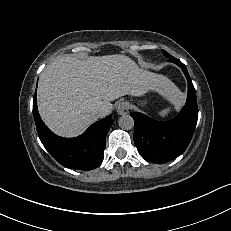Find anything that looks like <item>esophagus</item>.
Segmentation results:
<instances>
[{
	"instance_id": "esophagus-1",
	"label": "esophagus",
	"mask_w": 231,
	"mask_h": 231,
	"mask_svg": "<svg viewBox=\"0 0 231 231\" xmlns=\"http://www.w3.org/2000/svg\"><path fill=\"white\" fill-rule=\"evenodd\" d=\"M129 103L126 102V101H121L117 104L116 106V111L118 114L120 115H124V114H127L129 112Z\"/></svg>"
}]
</instances>
